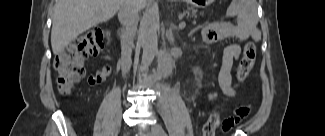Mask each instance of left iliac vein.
Masks as SVG:
<instances>
[{"mask_svg":"<svg viewBox=\"0 0 325 136\" xmlns=\"http://www.w3.org/2000/svg\"><path fill=\"white\" fill-rule=\"evenodd\" d=\"M160 128L159 124H154L150 128L146 129L145 133L147 136H159L158 129Z\"/></svg>","mask_w":325,"mask_h":136,"instance_id":"4c4485c4","label":"left iliac vein"}]
</instances>
